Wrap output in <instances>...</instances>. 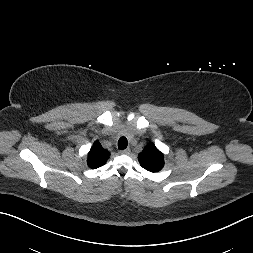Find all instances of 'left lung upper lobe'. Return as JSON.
I'll use <instances>...</instances> for the list:
<instances>
[{"label":"left lung upper lobe","mask_w":253,"mask_h":253,"mask_svg":"<svg viewBox=\"0 0 253 253\" xmlns=\"http://www.w3.org/2000/svg\"><path fill=\"white\" fill-rule=\"evenodd\" d=\"M140 165L150 172L160 171L164 166L163 154L149 143L144 150L138 155Z\"/></svg>","instance_id":"5c2ea615"}]
</instances>
